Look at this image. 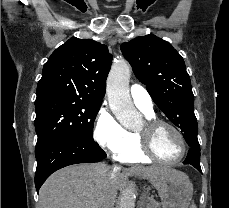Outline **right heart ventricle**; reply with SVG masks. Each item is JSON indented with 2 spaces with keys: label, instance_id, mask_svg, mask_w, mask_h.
I'll use <instances>...</instances> for the list:
<instances>
[{
  "label": "right heart ventricle",
  "instance_id": "e07e8e85",
  "mask_svg": "<svg viewBox=\"0 0 229 208\" xmlns=\"http://www.w3.org/2000/svg\"><path fill=\"white\" fill-rule=\"evenodd\" d=\"M144 114L149 119L154 117V114H147V113H144ZM128 133L132 141V147L129 150L119 154L118 157L125 161H147L149 160V158H143V153L140 152L141 148L139 147V144L143 143V140L139 136V134L135 132H128Z\"/></svg>",
  "mask_w": 229,
  "mask_h": 208
}]
</instances>
